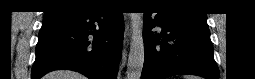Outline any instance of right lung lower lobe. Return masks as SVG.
<instances>
[{
  "mask_svg": "<svg viewBox=\"0 0 255 79\" xmlns=\"http://www.w3.org/2000/svg\"><path fill=\"white\" fill-rule=\"evenodd\" d=\"M124 32L121 12L73 9L44 16L32 79L71 69L90 79H115Z\"/></svg>",
  "mask_w": 255,
  "mask_h": 79,
  "instance_id": "1",
  "label": "right lung lower lobe"
}]
</instances>
